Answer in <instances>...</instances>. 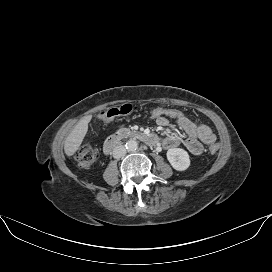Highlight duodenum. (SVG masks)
I'll use <instances>...</instances> for the list:
<instances>
[{"mask_svg":"<svg viewBox=\"0 0 272 272\" xmlns=\"http://www.w3.org/2000/svg\"><path fill=\"white\" fill-rule=\"evenodd\" d=\"M124 138L137 139L146 142L151 145H156L158 143V138L149 133L142 131H125L119 130L117 133L108 137L104 143L103 150L105 154H110L112 150L120 143Z\"/></svg>","mask_w":272,"mask_h":272,"instance_id":"duodenum-1","label":"duodenum"}]
</instances>
